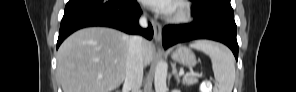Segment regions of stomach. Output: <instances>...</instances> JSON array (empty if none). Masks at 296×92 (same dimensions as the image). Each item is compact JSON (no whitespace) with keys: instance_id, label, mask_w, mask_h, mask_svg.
Listing matches in <instances>:
<instances>
[{"instance_id":"stomach-1","label":"stomach","mask_w":296,"mask_h":92,"mask_svg":"<svg viewBox=\"0 0 296 92\" xmlns=\"http://www.w3.org/2000/svg\"><path fill=\"white\" fill-rule=\"evenodd\" d=\"M171 58L179 64L193 68L197 61L194 53L187 47L179 46L171 54Z\"/></svg>"}]
</instances>
